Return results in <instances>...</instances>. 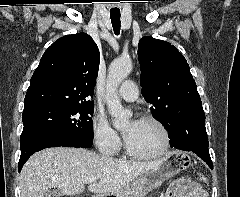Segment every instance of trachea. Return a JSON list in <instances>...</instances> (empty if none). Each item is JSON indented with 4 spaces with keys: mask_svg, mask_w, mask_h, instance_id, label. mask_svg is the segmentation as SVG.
<instances>
[{
    "mask_svg": "<svg viewBox=\"0 0 240 197\" xmlns=\"http://www.w3.org/2000/svg\"><path fill=\"white\" fill-rule=\"evenodd\" d=\"M111 23L113 26L114 33L120 34V12H110Z\"/></svg>",
    "mask_w": 240,
    "mask_h": 197,
    "instance_id": "3493384b",
    "label": "trachea"
}]
</instances>
